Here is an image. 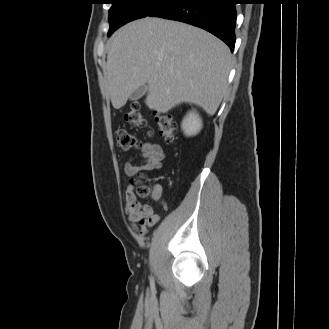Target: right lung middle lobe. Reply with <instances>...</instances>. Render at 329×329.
Instances as JSON below:
<instances>
[{
  "instance_id": "1",
  "label": "right lung middle lobe",
  "mask_w": 329,
  "mask_h": 329,
  "mask_svg": "<svg viewBox=\"0 0 329 329\" xmlns=\"http://www.w3.org/2000/svg\"><path fill=\"white\" fill-rule=\"evenodd\" d=\"M172 0H111L108 36L116 29L135 19L151 15Z\"/></svg>"
}]
</instances>
